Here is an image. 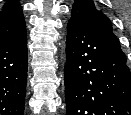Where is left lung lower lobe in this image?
<instances>
[{"label": "left lung lower lobe", "mask_w": 131, "mask_h": 115, "mask_svg": "<svg viewBox=\"0 0 131 115\" xmlns=\"http://www.w3.org/2000/svg\"><path fill=\"white\" fill-rule=\"evenodd\" d=\"M67 30L66 115H131L126 57L75 19Z\"/></svg>", "instance_id": "left-lung-lower-lobe-1"}]
</instances>
